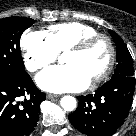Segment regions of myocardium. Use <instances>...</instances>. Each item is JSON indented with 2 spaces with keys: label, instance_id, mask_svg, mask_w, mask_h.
<instances>
[{
  "label": "myocardium",
  "instance_id": "myocardium-1",
  "mask_svg": "<svg viewBox=\"0 0 136 136\" xmlns=\"http://www.w3.org/2000/svg\"><path fill=\"white\" fill-rule=\"evenodd\" d=\"M99 40H104L107 43L109 47L110 55L105 69L98 76H96L94 79L90 81V86L92 87L105 81L109 77L115 66L117 54H116V47L112 38L106 34L97 33L81 39L66 51V54L81 53L87 50L91 45H93L95 42Z\"/></svg>",
  "mask_w": 136,
  "mask_h": 136
}]
</instances>
